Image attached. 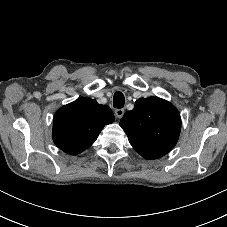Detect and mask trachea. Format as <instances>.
<instances>
[{
  "label": "trachea",
  "mask_w": 227,
  "mask_h": 227,
  "mask_svg": "<svg viewBox=\"0 0 227 227\" xmlns=\"http://www.w3.org/2000/svg\"><path fill=\"white\" fill-rule=\"evenodd\" d=\"M113 101H114L115 108H118V109L123 108L125 103V97L123 93L120 91L115 92Z\"/></svg>",
  "instance_id": "obj_1"
}]
</instances>
